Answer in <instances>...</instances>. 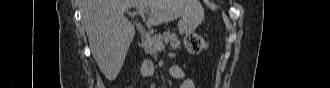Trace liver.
<instances>
[{"instance_id":"liver-1","label":"liver","mask_w":330,"mask_h":88,"mask_svg":"<svg viewBox=\"0 0 330 88\" xmlns=\"http://www.w3.org/2000/svg\"><path fill=\"white\" fill-rule=\"evenodd\" d=\"M197 0H83L82 20L91 53L108 80L119 74L135 28L124 16L126 8H149L148 22L160 25L193 11Z\"/></svg>"}]
</instances>
